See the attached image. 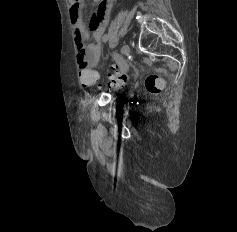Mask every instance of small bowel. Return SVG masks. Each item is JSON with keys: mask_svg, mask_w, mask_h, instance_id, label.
I'll use <instances>...</instances> for the list:
<instances>
[{"mask_svg": "<svg viewBox=\"0 0 237 232\" xmlns=\"http://www.w3.org/2000/svg\"><path fill=\"white\" fill-rule=\"evenodd\" d=\"M93 1L98 3V7L90 21L92 29L90 33L82 18L84 0H71V20L74 27L77 62L81 69L99 64L102 54V36L114 3V0Z\"/></svg>", "mask_w": 237, "mask_h": 232, "instance_id": "c3829d8e", "label": "small bowel"}]
</instances>
